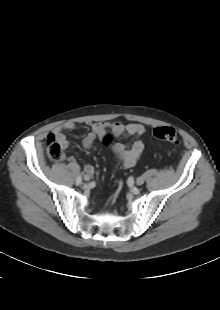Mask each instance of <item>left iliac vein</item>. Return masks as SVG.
Instances as JSON below:
<instances>
[{
  "mask_svg": "<svg viewBox=\"0 0 220 310\" xmlns=\"http://www.w3.org/2000/svg\"><path fill=\"white\" fill-rule=\"evenodd\" d=\"M144 183V179L142 178V177H138L137 179H136V184L137 185H142Z\"/></svg>",
  "mask_w": 220,
  "mask_h": 310,
  "instance_id": "obj_1",
  "label": "left iliac vein"
}]
</instances>
